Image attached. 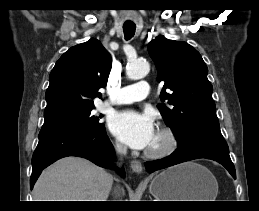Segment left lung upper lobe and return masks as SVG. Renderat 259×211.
I'll return each instance as SVG.
<instances>
[{
    "label": "left lung upper lobe",
    "mask_w": 259,
    "mask_h": 211,
    "mask_svg": "<svg viewBox=\"0 0 259 211\" xmlns=\"http://www.w3.org/2000/svg\"><path fill=\"white\" fill-rule=\"evenodd\" d=\"M148 52L158 70L157 81L164 84L160 99L169 105L159 104L158 108L178 146L202 134L223 138L208 68L200 53L186 42L164 36L152 40Z\"/></svg>",
    "instance_id": "obj_1"
}]
</instances>
